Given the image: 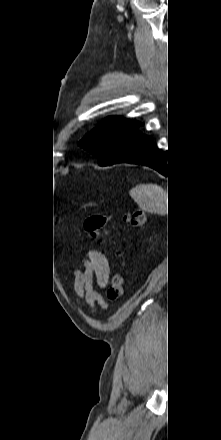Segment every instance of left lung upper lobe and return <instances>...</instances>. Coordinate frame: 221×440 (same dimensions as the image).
<instances>
[{
    "label": "left lung upper lobe",
    "instance_id": "left-lung-upper-lobe-1",
    "mask_svg": "<svg viewBox=\"0 0 221 440\" xmlns=\"http://www.w3.org/2000/svg\"><path fill=\"white\" fill-rule=\"evenodd\" d=\"M138 125V122L111 116L86 134L78 145L94 154L99 165H112L124 155Z\"/></svg>",
    "mask_w": 221,
    "mask_h": 440
}]
</instances>
